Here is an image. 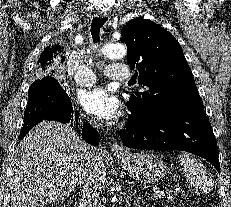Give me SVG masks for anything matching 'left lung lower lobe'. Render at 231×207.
<instances>
[{
    "label": "left lung lower lobe",
    "mask_w": 231,
    "mask_h": 207,
    "mask_svg": "<svg viewBox=\"0 0 231 207\" xmlns=\"http://www.w3.org/2000/svg\"><path fill=\"white\" fill-rule=\"evenodd\" d=\"M120 137L133 149L182 150L196 154L211 162L220 173L217 142L203 104L156 116L131 115Z\"/></svg>",
    "instance_id": "1"
}]
</instances>
